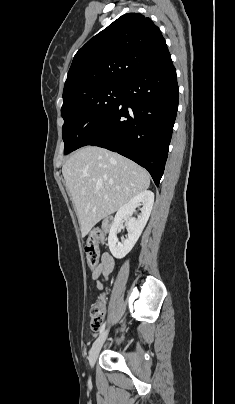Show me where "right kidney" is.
I'll use <instances>...</instances> for the list:
<instances>
[{
  "label": "right kidney",
  "mask_w": 235,
  "mask_h": 404,
  "mask_svg": "<svg viewBox=\"0 0 235 404\" xmlns=\"http://www.w3.org/2000/svg\"><path fill=\"white\" fill-rule=\"evenodd\" d=\"M153 203V192L145 190L137 194L118 210L108 237L109 249L115 258L121 259L132 250L149 219ZM138 205H142L141 213L137 219L132 218L131 216ZM124 218H128L126 222L128 236L122 242H119L117 234L122 227Z\"/></svg>",
  "instance_id": "ca27d5eb"
}]
</instances>
